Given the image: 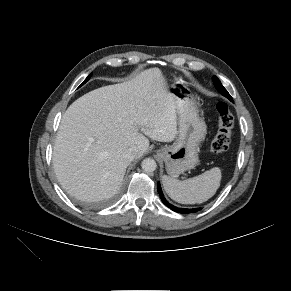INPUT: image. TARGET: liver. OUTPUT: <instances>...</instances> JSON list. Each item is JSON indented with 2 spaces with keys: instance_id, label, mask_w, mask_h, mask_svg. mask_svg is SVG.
<instances>
[{
  "instance_id": "obj_1",
  "label": "liver",
  "mask_w": 291,
  "mask_h": 291,
  "mask_svg": "<svg viewBox=\"0 0 291 291\" xmlns=\"http://www.w3.org/2000/svg\"><path fill=\"white\" fill-rule=\"evenodd\" d=\"M177 107L159 68L130 81L90 91L62 116L53 149V166L63 189L83 201L118 193L136 147L138 159L149 138L171 142L177 135Z\"/></svg>"
}]
</instances>
